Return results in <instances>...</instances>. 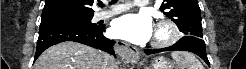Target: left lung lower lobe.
I'll return each instance as SVG.
<instances>
[{"instance_id": "obj_1", "label": "left lung lower lobe", "mask_w": 246, "mask_h": 69, "mask_svg": "<svg viewBox=\"0 0 246 69\" xmlns=\"http://www.w3.org/2000/svg\"><path fill=\"white\" fill-rule=\"evenodd\" d=\"M171 50H181V51H189L192 52L199 57H201L209 66L210 63L207 58L205 42L202 38H197L194 36H185L177 41L174 45L161 49H145L144 52L147 55L159 53L163 51H171Z\"/></svg>"}]
</instances>
